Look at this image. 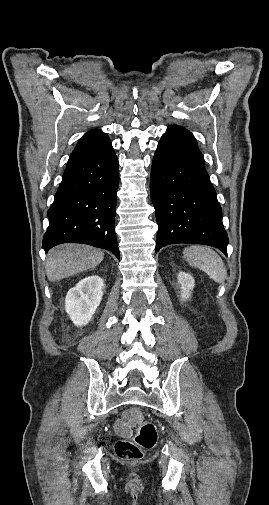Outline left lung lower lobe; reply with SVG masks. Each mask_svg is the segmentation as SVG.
<instances>
[{"mask_svg": "<svg viewBox=\"0 0 269 505\" xmlns=\"http://www.w3.org/2000/svg\"><path fill=\"white\" fill-rule=\"evenodd\" d=\"M150 194L159 226L156 252L176 243L204 244L227 255L229 242L222 209L196 139L169 126L155 152Z\"/></svg>", "mask_w": 269, "mask_h": 505, "instance_id": "left-lung-lower-lobe-1", "label": "left lung lower lobe"}]
</instances>
